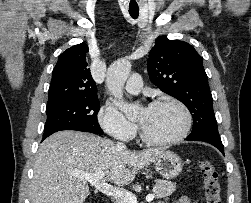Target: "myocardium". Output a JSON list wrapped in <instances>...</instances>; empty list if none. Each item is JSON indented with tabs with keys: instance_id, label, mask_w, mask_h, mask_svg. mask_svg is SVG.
Here are the masks:
<instances>
[{
	"instance_id": "1",
	"label": "myocardium",
	"mask_w": 251,
	"mask_h": 203,
	"mask_svg": "<svg viewBox=\"0 0 251 203\" xmlns=\"http://www.w3.org/2000/svg\"><path fill=\"white\" fill-rule=\"evenodd\" d=\"M165 103L174 104L181 110V112L183 113V116H184V125H183L181 131L176 136L169 138V139H164V140H157V139H153V138L149 137L145 133V131L143 130L141 125H139L140 138L143 142H145L148 145L170 146V145L179 143L182 140H184L190 132V129L192 126V114H191L189 108L181 100H179L175 97L166 96V97L155 99L154 101H152L150 103L149 107L158 106V105H162Z\"/></svg>"
}]
</instances>
